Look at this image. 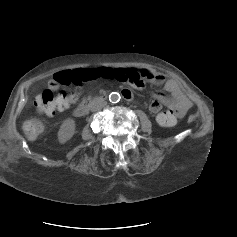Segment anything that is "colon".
<instances>
[{
    "label": "colon",
    "instance_id": "1",
    "mask_svg": "<svg viewBox=\"0 0 237 237\" xmlns=\"http://www.w3.org/2000/svg\"><path fill=\"white\" fill-rule=\"evenodd\" d=\"M145 78L144 70L136 68L75 69L58 72L53 76L49 88L42 93L37 108L47 116L54 115L56 111L65 110L67 94L64 91L55 94L63 86L73 84L80 87L88 81L110 79L130 84L135 88H142L146 81ZM156 122L162 127H171L176 123V119L171 113L165 111L156 115ZM23 130L26 137L33 140L42 134L44 125L39 119H30L24 122Z\"/></svg>",
    "mask_w": 237,
    "mask_h": 237
}]
</instances>
